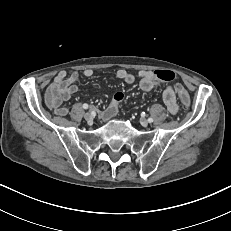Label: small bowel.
I'll return each instance as SVG.
<instances>
[{"instance_id": "c3829d8e", "label": "small bowel", "mask_w": 231, "mask_h": 231, "mask_svg": "<svg viewBox=\"0 0 231 231\" xmlns=\"http://www.w3.org/2000/svg\"><path fill=\"white\" fill-rule=\"evenodd\" d=\"M92 69H85L82 71L84 77H91L93 75ZM80 73L75 71L70 75H67L65 71L59 72L52 84L57 86L58 91L54 94L51 104V108L57 115L64 116L68 113V108L61 105L62 101L69 100L75 93L78 92L79 87L76 84ZM116 77L126 84H132L135 82V76L125 69H119L116 72ZM139 86L144 91H151L157 86V81L154 78V72L142 70L138 73ZM50 88V87H49ZM49 91V89H48ZM163 101L167 106L169 112L172 114L177 113L179 106L177 103L175 89L171 86L167 87L163 92ZM118 111V104L115 103L114 99L112 103L101 112V118L104 120H109L113 118Z\"/></svg>"}]
</instances>
